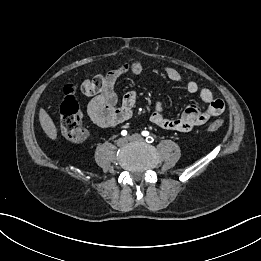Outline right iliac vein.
<instances>
[{
	"label": "right iliac vein",
	"instance_id": "obj_1",
	"mask_svg": "<svg viewBox=\"0 0 261 261\" xmlns=\"http://www.w3.org/2000/svg\"><path fill=\"white\" fill-rule=\"evenodd\" d=\"M126 142H127V139H126V138H119V139L117 140V145H118V146H123V145L126 144Z\"/></svg>",
	"mask_w": 261,
	"mask_h": 261
}]
</instances>
